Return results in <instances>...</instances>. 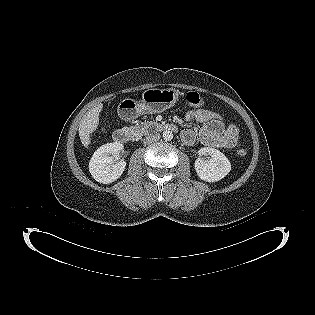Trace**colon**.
Masks as SVG:
<instances>
[{"label":"colon","instance_id":"obj_1","mask_svg":"<svg viewBox=\"0 0 315 315\" xmlns=\"http://www.w3.org/2000/svg\"><path fill=\"white\" fill-rule=\"evenodd\" d=\"M184 102L188 106L192 107H202L205 104L204 99L196 92H188L184 97ZM238 155L240 157H245L247 151L245 149L238 150Z\"/></svg>","mask_w":315,"mask_h":315}]
</instances>
